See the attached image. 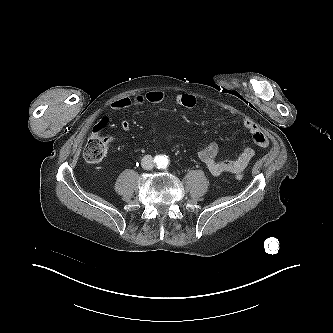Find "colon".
I'll return each instance as SVG.
<instances>
[{
  "label": "colon",
  "mask_w": 333,
  "mask_h": 333,
  "mask_svg": "<svg viewBox=\"0 0 333 333\" xmlns=\"http://www.w3.org/2000/svg\"><path fill=\"white\" fill-rule=\"evenodd\" d=\"M108 123L109 119L103 118L89 137L83 151L84 158L87 162L98 163L106 157L110 139L104 136L102 131L107 127ZM235 178L241 180L243 179V175L237 174Z\"/></svg>",
  "instance_id": "colon-1"
}]
</instances>
